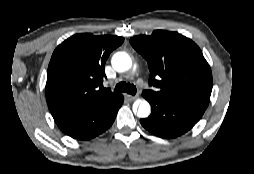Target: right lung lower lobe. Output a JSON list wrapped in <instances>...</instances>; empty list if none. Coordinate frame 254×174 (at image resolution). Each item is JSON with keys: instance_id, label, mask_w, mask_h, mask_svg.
<instances>
[{"instance_id": "98d812e1", "label": "right lung lower lobe", "mask_w": 254, "mask_h": 174, "mask_svg": "<svg viewBox=\"0 0 254 174\" xmlns=\"http://www.w3.org/2000/svg\"><path fill=\"white\" fill-rule=\"evenodd\" d=\"M122 103V95L112 100L84 101L53 118L68 136L89 140L113 124Z\"/></svg>"}]
</instances>
